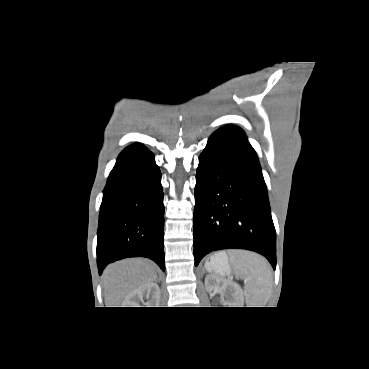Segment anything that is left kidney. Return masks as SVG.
Listing matches in <instances>:
<instances>
[{"mask_svg": "<svg viewBox=\"0 0 369 369\" xmlns=\"http://www.w3.org/2000/svg\"><path fill=\"white\" fill-rule=\"evenodd\" d=\"M205 288L208 292L215 291L228 296L230 298V301H227L229 307H243V294L240 288L233 283L214 275H207L205 278Z\"/></svg>", "mask_w": 369, "mask_h": 369, "instance_id": "1", "label": "left kidney"}]
</instances>
